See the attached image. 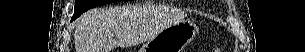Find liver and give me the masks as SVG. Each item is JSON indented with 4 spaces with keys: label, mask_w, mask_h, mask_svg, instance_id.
Masks as SVG:
<instances>
[{
    "label": "liver",
    "mask_w": 305,
    "mask_h": 52,
    "mask_svg": "<svg viewBox=\"0 0 305 52\" xmlns=\"http://www.w3.org/2000/svg\"><path fill=\"white\" fill-rule=\"evenodd\" d=\"M164 28L150 29L146 10L138 6L93 9L76 22L75 49L76 52H111L118 46L148 41Z\"/></svg>",
    "instance_id": "obj_1"
}]
</instances>
